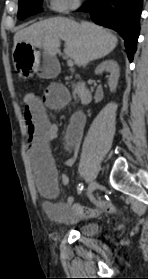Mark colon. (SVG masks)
<instances>
[{"label": "colon", "mask_w": 148, "mask_h": 279, "mask_svg": "<svg viewBox=\"0 0 148 279\" xmlns=\"http://www.w3.org/2000/svg\"><path fill=\"white\" fill-rule=\"evenodd\" d=\"M36 100V95L33 92L27 91L23 94V101L25 104L33 103Z\"/></svg>", "instance_id": "1"}]
</instances>
